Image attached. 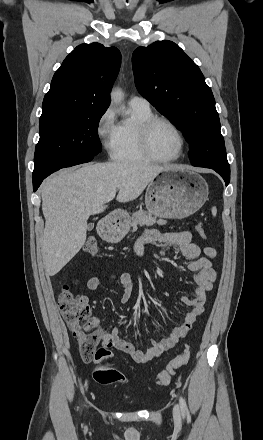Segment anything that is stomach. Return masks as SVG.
Segmentation results:
<instances>
[{"instance_id": "obj_1", "label": "stomach", "mask_w": 263, "mask_h": 440, "mask_svg": "<svg viewBox=\"0 0 263 440\" xmlns=\"http://www.w3.org/2000/svg\"><path fill=\"white\" fill-rule=\"evenodd\" d=\"M209 189L206 181L197 173L171 168L153 180L146 191L145 204L151 215L183 219L198 211L206 202ZM122 221L113 225L105 234L110 242H119L127 234L129 219L122 214Z\"/></svg>"}]
</instances>
